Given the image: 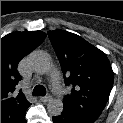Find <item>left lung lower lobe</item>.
I'll return each instance as SVG.
<instances>
[{"label":"left lung lower lobe","instance_id":"obj_1","mask_svg":"<svg viewBox=\"0 0 123 123\" xmlns=\"http://www.w3.org/2000/svg\"><path fill=\"white\" fill-rule=\"evenodd\" d=\"M54 123H88L86 121H82L69 113H67L65 110L61 113V115L53 117Z\"/></svg>","mask_w":123,"mask_h":123}]
</instances>
